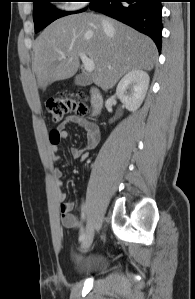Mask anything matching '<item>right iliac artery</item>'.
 I'll return each mask as SVG.
<instances>
[{
	"mask_svg": "<svg viewBox=\"0 0 195 299\" xmlns=\"http://www.w3.org/2000/svg\"><path fill=\"white\" fill-rule=\"evenodd\" d=\"M84 208H85V206H84V204H83V205H82V214H81L82 219H84V217H85ZM84 237H85V234H84V231H83V229H82V230H81L80 237H79V241H83Z\"/></svg>",
	"mask_w": 195,
	"mask_h": 299,
	"instance_id": "right-iliac-artery-1",
	"label": "right iliac artery"
}]
</instances>
